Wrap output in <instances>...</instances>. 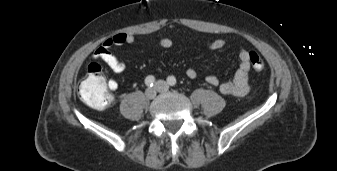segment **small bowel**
Masks as SVG:
<instances>
[{"instance_id": "c3829d8e", "label": "small bowel", "mask_w": 337, "mask_h": 171, "mask_svg": "<svg viewBox=\"0 0 337 171\" xmlns=\"http://www.w3.org/2000/svg\"><path fill=\"white\" fill-rule=\"evenodd\" d=\"M135 42L134 35L130 33H117L103 41L100 47L94 53V59L102 60L114 73H122L126 69V64L111 52L113 46L130 45ZM227 42L224 39H215L207 43V47L211 50H219L226 46ZM162 48L168 49L173 47L174 42L170 38H162L159 41ZM250 52L246 49H240L238 52L239 66L232 80L220 82L214 74L206 76V82L214 87H218L220 92L231 96H244L250 89V70L251 64L249 61ZM186 76L194 79L197 76V71L194 68L186 70ZM107 85L111 91L118 89V83L114 79H109Z\"/></svg>"}]
</instances>
